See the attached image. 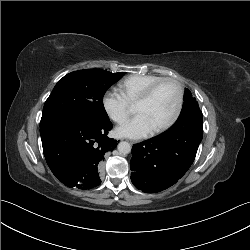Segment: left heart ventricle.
<instances>
[{
    "instance_id": "obj_1",
    "label": "left heart ventricle",
    "mask_w": 250,
    "mask_h": 250,
    "mask_svg": "<svg viewBox=\"0 0 250 250\" xmlns=\"http://www.w3.org/2000/svg\"><path fill=\"white\" fill-rule=\"evenodd\" d=\"M177 94L174 83H163L149 101L135 105L134 111L136 114L143 115L154 130L167 123L174 114Z\"/></svg>"
}]
</instances>
